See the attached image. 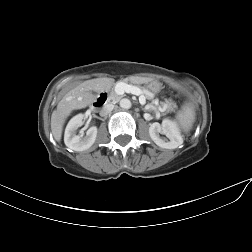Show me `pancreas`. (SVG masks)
Segmentation results:
<instances>
[{
  "instance_id": "1",
  "label": "pancreas",
  "mask_w": 252,
  "mask_h": 252,
  "mask_svg": "<svg viewBox=\"0 0 252 252\" xmlns=\"http://www.w3.org/2000/svg\"><path fill=\"white\" fill-rule=\"evenodd\" d=\"M120 82H117V84H119ZM140 89H142L144 92H149L151 94V96H154V94L149 91L148 89L144 88V87H140ZM110 96L112 98V100H118L120 98V96L115 92L114 89H112L111 93H110ZM162 104H166L168 107H169V112L170 111H173L174 108L176 107L175 103L169 101V100H166L165 102H162Z\"/></svg>"
}]
</instances>
